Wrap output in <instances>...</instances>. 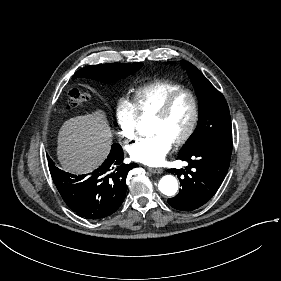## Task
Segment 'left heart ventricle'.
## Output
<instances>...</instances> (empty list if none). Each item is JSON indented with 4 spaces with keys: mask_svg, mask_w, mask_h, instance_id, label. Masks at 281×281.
Segmentation results:
<instances>
[{
    "mask_svg": "<svg viewBox=\"0 0 281 281\" xmlns=\"http://www.w3.org/2000/svg\"><path fill=\"white\" fill-rule=\"evenodd\" d=\"M190 118V100L188 97H181L173 103L168 113L163 118H148L149 136L161 133L169 140L173 141L185 132Z\"/></svg>",
    "mask_w": 281,
    "mask_h": 281,
    "instance_id": "b2bd125f",
    "label": "left heart ventricle"
}]
</instances>
